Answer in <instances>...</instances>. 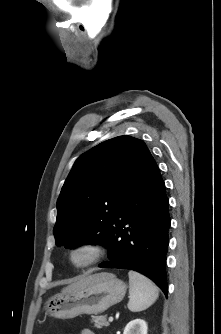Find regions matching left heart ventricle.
<instances>
[{
  "mask_svg": "<svg viewBox=\"0 0 221 334\" xmlns=\"http://www.w3.org/2000/svg\"><path fill=\"white\" fill-rule=\"evenodd\" d=\"M82 258L81 256H78V259Z\"/></svg>",
  "mask_w": 221,
  "mask_h": 334,
  "instance_id": "b2bd125f",
  "label": "left heart ventricle"
}]
</instances>
